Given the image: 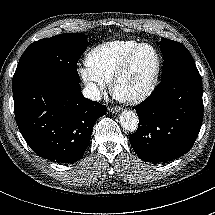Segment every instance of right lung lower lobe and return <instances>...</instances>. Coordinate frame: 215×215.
Here are the masks:
<instances>
[{
	"label": "right lung lower lobe",
	"mask_w": 215,
	"mask_h": 215,
	"mask_svg": "<svg viewBox=\"0 0 215 215\" xmlns=\"http://www.w3.org/2000/svg\"><path fill=\"white\" fill-rule=\"evenodd\" d=\"M15 118L30 148L57 163L80 160L106 106L84 98L79 83L40 79L13 90Z\"/></svg>",
	"instance_id": "right-lung-lower-lobe-1"
}]
</instances>
